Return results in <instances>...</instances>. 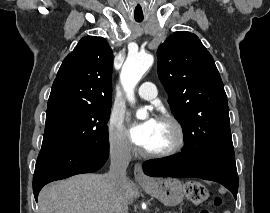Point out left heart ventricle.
Returning a JSON list of instances; mask_svg holds the SVG:
<instances>
[{
    "instance_id": "left-heart-ventricle-1",
    "label": "left heart ventricle",
    "mask_w": 270,
    "mask_h": 213,
    "mask_svg": "<svg viewBox=\"0 0 270 213\" xmlns=\"http://www.w3.org/2000/svg\"><path fill=\"white\" fill-rule=\"evenodd\" d=\"M176 140L174 128L167 122L156 121L149 141L144 147L147 151H160L170 147Z\"/></svg>"
}]
</instances>
